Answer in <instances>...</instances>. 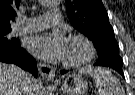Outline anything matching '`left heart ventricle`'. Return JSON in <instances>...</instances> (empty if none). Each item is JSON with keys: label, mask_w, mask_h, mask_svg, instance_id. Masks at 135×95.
<instances>
[{"label": "left heart ventricle", "mask_w": 135, "mask_h": 95, "mask_svg": "<svg viewBox=\"0 0 135 95\" xmlns=\"http://www.w3.org/2000/svg\"><path fill=\"white\" fill-rule=\"evenodd\" d=\"M86 55V48L80 41H69L65 60L77 61Z\"/></svg>", "instance_id": "left-heart-ventricle-1"}]
</instances>
